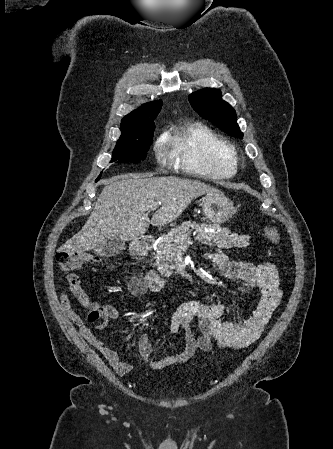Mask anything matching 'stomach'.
<instances>
[{
    "mask_svg": "<svg viewBox=\"0 0 333 449\" xmlns=\"http://www.w3.org/2000/svg\"><path fill=\"white\" fill-rule=\"evenodd\" d=\"M202 208L209 224L224 223L236 212L233 201L221 192L207 195L202 201Z\"/></svg>",
    "mask_w": 333,
    "mask_h": 449,
    "instance_id": "obj_1",
    "label": "stomach"
}]
</instances>
